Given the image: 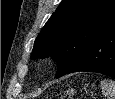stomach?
<instances>
[{"label":"stomach","mask_w":115,"mask_h":99,"mask_svg":"<svg viewBox=\"0 0 115 99\" xmlns=\"http://www.w3.org/2000/svg\"><path fill=\"white\" fill-rule=\"evenodd\" d=\"M67 94L69 95V97L73 96L75 94V90L74 89H69L67 91Z\"/></svg>","instance_id":"0dacf381"}]
</instances>
